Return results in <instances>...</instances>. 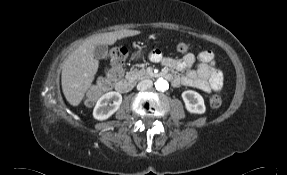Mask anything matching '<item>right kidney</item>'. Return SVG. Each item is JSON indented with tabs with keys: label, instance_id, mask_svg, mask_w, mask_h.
Masks as SVG:
<instances>
[{
	"label": "right kidney",
	"instance_id": "ca27d5eb",
	"mask_svg": "<svg viewBox=\"0 0 287 175\" xmlns=\"http://www.w3.org/2000/svg\"><path fill=\"white\" fill-rule=\"evenodd\" d=\"M122 96L117 92H108L96 103L93 116L97 120H105L114 114L120 107Z\"/></svg>",
	"mask_w": 287,
	"mask_h": 175
}]
</instances>
